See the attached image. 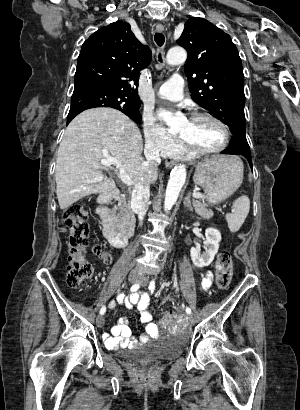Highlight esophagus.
I'll use <instances>...</instances> for the list:
<instances>
[{"label":"esophagus","instance_id":"1","mask_svg":"<svg viewBox=\"0 0 300 410\" xmlns=\"http://www.w3.org/2000/svg\"><path fill=\"white\" fill-rule=\"evenodd\" d=\"M164 29L165 28H164L163 25H161V24L156 25V31L157 32H163ZM165 165H166L167 168H172L175 165V163L172 162V161H166Z\"/></svg>","mask_w":300,"mask_h":410}]
</instances>
